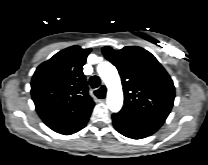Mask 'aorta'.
<instances>
[{"mask_svg":"<svg viewBox=\"0 0 208 165\" xmlns=\"http://www.w3.org/2000/svg\"><path fill=\"white\" fill-rule=\"evenodd\" d=\"M97 72L108 88V108L112 112H118L123 105V92L117 69L110 62H102L98 65Z\"/></svg>","mask_w":208,"mask_h":165,"instance_id":"aorta-1","label":"aorta"}]
</instances>
